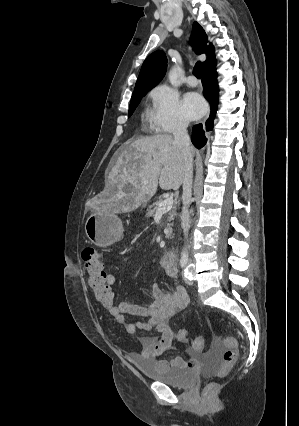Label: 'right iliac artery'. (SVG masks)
<instances>
[{
    "label": "right iliac artery",
    "mask_w": 299,
    "mask_h": 426,
    "mask_svg": "<svg viewBox=\"0 0 299 426\" xmlns=\"http://www.w3.org/2000/svg\"><path fill=\"white\" fill-rule=\"evenodd\" d=\"M186 263H187L186 261H181V262H180V266H181L182 268H184V267L186 266Z\"/></svg>",
    "instance_id": "82829eb1"
}]
</instances>
